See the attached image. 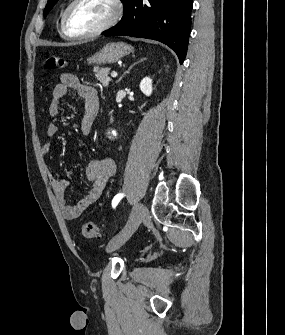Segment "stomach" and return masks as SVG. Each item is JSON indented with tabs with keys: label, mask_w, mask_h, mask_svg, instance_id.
<instances>
[{
	"label": "stomach",
	"mask_w": 285,
	"mask_h": 335,
	"mask_svg": "<svg viewBox=\"0 0 285 335\" xmlns=\"http://www.w3.org/2000/svg\"><path fill=\"white\" fill-rule=\"evenodd\" d=\"M130 52H133V48L124 44V42H109L106 46H103L102 50L93 54L91 58H87L88 64H115L119 62L124 56H128Z\"/></svg>",
	"instance_id": "stomach-1"
}]
</instances>
